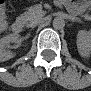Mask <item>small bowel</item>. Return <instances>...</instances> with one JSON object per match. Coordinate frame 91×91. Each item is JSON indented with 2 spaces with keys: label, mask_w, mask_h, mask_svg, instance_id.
Instances as JSON below:
<instances>
[{
  "label": "small bowel",
  "mask_w": 91,
  "mask_h": 91,
  "mask_svg": "<svg viewBox=\"0 0 91 91\" xmlns=\"http://www.w3.org/2000/svg\"><path fill=\"white\" fill-rule=\"evenodd\" d=\"M0 27L2 30L7 28L6 12L5 10L0 11Z\"/></svg>",
  "instance_id": "small-bowel-1"
}]
</instances>
